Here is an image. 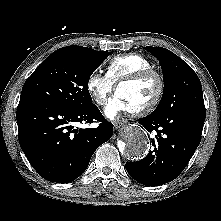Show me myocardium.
<instances>
[{"mask_svg":"<svg viewBox=\"0 0 221 221\" xmlns=\"http://www.w3.org/2000/svg\"><path fill=\"white\" fill-rule=\"evenodd\" d=\"M154 78L157 82V92L153 100L142 108L132 110L130 113L136 116H143L151 113L161 102L165 91V82L162 75L154 69L142 70L121 79L116 85V91L125 84H134Z\"/></svg>","mask_w":221,"mask_h":221,"instance_id":"myocardium-1","label":"myocardium"}]
</instances>
